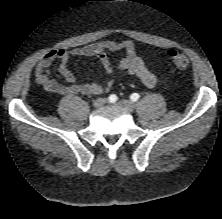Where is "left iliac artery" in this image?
<instances>
[{"mask_svg": "<svg viewBox=\"0 0 222 219\" xmlns=\"http://www.w3.org/2000/svg\"><path fill=\"white\" fill-rule=\"evenodd\" d=\"M139 94L138 93H133L131 96H130V99L135 102L139 99Z\"/></svg>", "mask_w": 222, "mask_h": 219, "instance_id": "1", "label": "left iliac artery"}]
</instances>
